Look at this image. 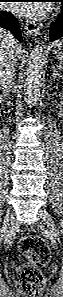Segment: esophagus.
<instances>
[{
	"instance_id": "34e87169",
	"label": "esophagus",
	"mask_w": 63,
	"mask_h": 297,
	"mask_svg": "<svg viewBox=\"0 0 63 297\" xmlns=\"http://www.w3.org/2000/svg\"><path fill=\"white\" fill-rule=\"evenodd\" d=\"M26 31L28 35L36 37L39 34V26L35 22L27 21Z\"/></svg>"
}]
</instances>
